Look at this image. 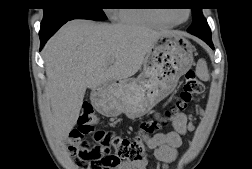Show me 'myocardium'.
<instances>
[{"mask_svg":"<svg viewBox=\"0 0 252 169\" xmlns=\"http://www.w3.org/2000/svg\"><path fill=\"white\" fill-rule=\"evenodd\" d=\"M189 16H190V10H187L186 19L183 20V21H180V22L171 20L170 18H168L166 16H163V15H156L155 17L162 20V21H164V22H166V23L177 25V24H181V23L185 22L189 18Z\"/></svg>","mask_w":252,"mask_h":169,"instance_id":"obj_1","label":"myocardium"}]
</instances>
